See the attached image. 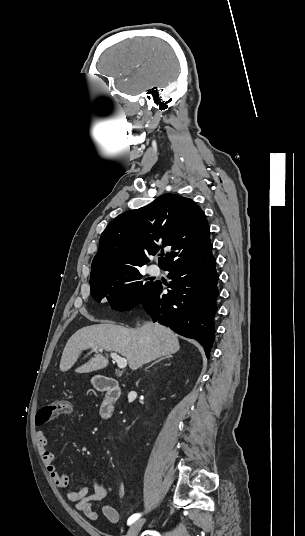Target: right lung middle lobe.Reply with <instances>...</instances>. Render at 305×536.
<instances>
[{"instance_id":"1","label":"right lung middle lobe","mask_w":305,"mask_h":536,"mask_svg":"<svg viewBox=\"0 0 305 536\" xmlns=\"http://www.w3.org/2000/svg\"><path fill=\"white\" fill-rule=\"evenodd\" d=\"M141 279L140 271L134 270L112 278L92 281L90 293L97 302L107 298L114 310H129L142 301L154 284L144 283Z\"/></svg>"}]
</instances>
